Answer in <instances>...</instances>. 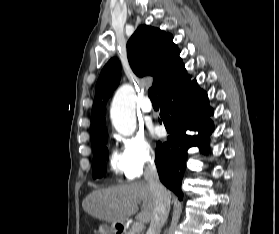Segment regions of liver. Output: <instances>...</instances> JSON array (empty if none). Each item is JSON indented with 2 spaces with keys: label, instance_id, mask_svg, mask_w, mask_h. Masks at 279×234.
I'll use <instances>...</instances> for the list:
<instances>
[{
  "label": "liver",
  "instance_id": "6515ba94",
  "mask_svg": "<svg viewBox=\"0 0 279 234\" xmlns=\"http://www.w3.org/2000/svg\"><path fill=\"white\" fill-rule=\"evenodd\" d=\"M141 202V212L136 218L147 223L154 212V199L145 181L95 190L83 200L82 207L86 213L99 220L124 223L138 212Z\"/></svg>",
  "mask_w": 279,
  "mask_h": 234
}]
</instances>
